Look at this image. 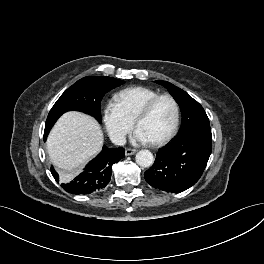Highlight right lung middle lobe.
<instances>
[{
	"label": "right lung middle lobe",
	"instance_id": "obj_1",
	"mask_svg": "<svg viewBox=\"0 0 264 264\" xmlns=\"http://www.w3.org/2000/svg\"><path fill=\"white\" fill-rule=\"evenodd\" d=\"M123 83L122 80L102 76H87L78 80L61 95L50 110L44 133L48 134L57 119L71 110L90 114L101 122L100 102L104 94Z\"/></svg>",
	"mask_w": 264,
	"mask_h": 264
}]
</instances>
